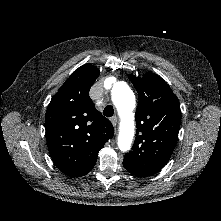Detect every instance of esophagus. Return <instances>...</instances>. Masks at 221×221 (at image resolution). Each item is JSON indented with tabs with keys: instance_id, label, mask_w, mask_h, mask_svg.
<instances>
[{
	"instance_id": "obj_1",
	"label": "esophagus",
	"mask_w": 221,
	"mask_h": 221,
	"mask_svg": "<svg viewBox=\"0 0 221 221\" xmlns=\"http://www.w3.org/2000/svg\"><path fill=\"white\" fill-rule=\"evenodd\" d=\"M111 123L113 124V126L115 127L117 125V117L113 116L110 118Z\"/></svg>"
}]
</instances>
